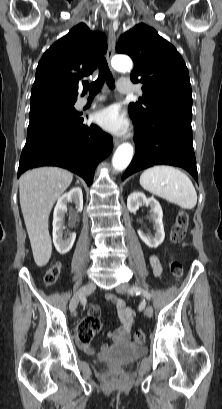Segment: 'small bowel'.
Instances as JSON below:
<instances>
[{
    "instance_id": "c3829d8e",
    "label": "small bowel",
    "mask_w": 222,
    "mask_h": 409,
    "mask_svg": "<svg viewBox=\"0 0 222 409\" xmlns=\"http://www.w3.org/2000/svg\"><path fill=\"white\" fill-rule=\"evenodd\" d=\"M149 261L152 266L154 275L158 277L161 276L163 274V266L160 257L156 254L151 255ZM106 299L115 307L120 321V326L114 331L108 332L107 336L116 344L125 343L131 338V331L135 324L136 314L129 306H127L126 302L123 299H120L113 294L107 295ZM85 319L97 320L100 323L99 309L97 307H92L89 315ZM80 343L86 353L94 354L96 352V349L90 346V343ZM108 349V344L102 345L103 351H106Z\"/></svg>"
}]
</instances>
